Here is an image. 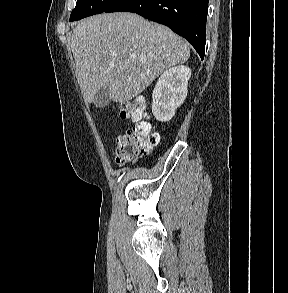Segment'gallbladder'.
Segmentation results:
<instances>
[{"label":"gallbladder","instance_id":"1","mask_svg":"<svg viewBox=\"0 0 288 293\" xmlns=\"http://www.w3.org/2000/svg\"><path fill=\"white\" fill-rule=\"evenodd\" d=\"M110 101V89L108 86H103L97 90L93 103L98 108H104L110 103Z\"/></svg>","mask_w":288,"mask_h":293}]
</instances>
